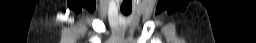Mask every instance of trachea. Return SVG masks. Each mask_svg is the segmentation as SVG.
<instances>
[{
	"label": "trachea",
	"instance_id": "trachea-1",
	"mask_svg": "<svg viewBox=\"0 0 256 43\" xmlns=\"http://www.w3.org/2000/svg\"><path fill=\"white\" fill-rule=\"evenodd\" d=\"M121 12L124 14V15H129L131 13V9H128V10H124V9H121Z\"/></svg>",
	"mask_w": 256,
	"mask_h": 43
}]
</instances>
